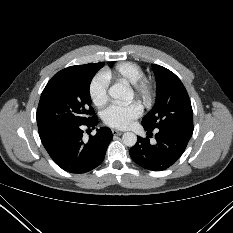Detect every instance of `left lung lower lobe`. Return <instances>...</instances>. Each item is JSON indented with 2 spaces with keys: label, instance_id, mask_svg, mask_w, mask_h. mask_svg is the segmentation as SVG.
I'll return each mask as SVG.
<instances>
[{
  "label": "left lung lower lobe",
  "instance_id": "1",
  "mask_svg": "<svg viewBox=\"0 0 233 233\" xmlns=\"http://www.w3.org/2000/svg\"><path fill=\"white\" fill-rule=\"evenodd\" d=\"M191 136V132L176 129L159 130L155 134L156 144H151L148 138L138 137L137 143L130 149V156L143 168L163 171L179 159Z\"/></svg>",
  "mask_w": 233,
  "mask_h": 233
}]
</instances>
